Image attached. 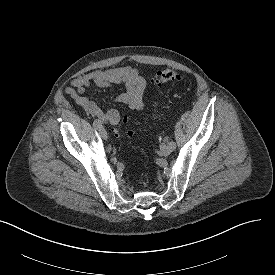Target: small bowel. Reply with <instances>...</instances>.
Instances as JSON below:
<instances>
[{"label": "small bowel", "mask_w": 275, "mask_h": 275, "mask_svg": "<svg viewBox=\"0 0 275 275\" xmlns=\"http://www.w3.org/2000/svg\"><path fill=\"white\" fill-rule=\"evenodd\" d=\"M119 83H123L126 90L116 95V101L126 105L131 111L142 110L147 82L139 70L131 66L99 69L76 77L70 86L65 88V93L70 95L88 116L103 124L115 125L121 119L120 112L117 109L101 110L86 94V89L90 86L111 88Z\"/></svg>", "instance_id": "c3829d8e"}]
</instances>
